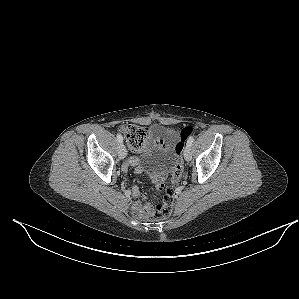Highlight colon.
Returning <instances> with one entry per match:
<instances>
[{"instance_id":"colon-1","label":"colon","mask_w":299,"mask_h":299,"mask_svg":"<svg viewBox=\"0 0 299 299\" xmlns=\"http://www.w3.org/2000/svg\"><path fill=\"white\" fill-rule=\"evenodd\" d=\"M120 131L125 136L129 148L132 151H140L144 147L149 134L147 128L135 124L123 125L120 127ZM193 131L194 129L190 126L184 127L181 131V141L176 144V160L174 169L168 183L163 185L165 189L164 198L151 214V217L155 219L164 218L172 211L175 197L173 188L180 182L183 173V160L181 157L183 142L193 134Z\"/></svg>"}]
</instances>
